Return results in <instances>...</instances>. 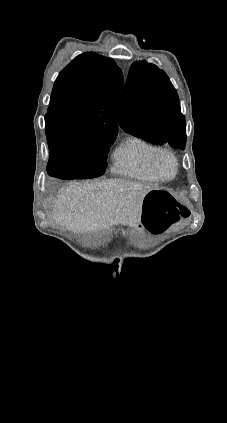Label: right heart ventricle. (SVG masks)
I'll list each match as a JSON object with an SVG mask.
<instances>
[{
    "label": "right heart ventricle",
    "instance_id": "1",
    "mask_svg": "<svg viewBox=\"0 0 227 423\" xmlns=\"http://www.w3.org/2000/svg\"><path fill=\"white\" fill-rule=\"evenodd\" d=\"M153 144L139 136H127L113 154L114 174L146 184H158L161 180L150 166Z\"/></svg>",
    "mask_w": 227,
    "mask_h": 423
}]
</instances>
